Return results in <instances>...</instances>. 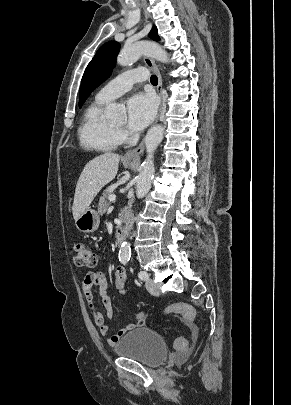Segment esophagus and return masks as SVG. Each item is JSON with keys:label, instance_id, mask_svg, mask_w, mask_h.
I'll return each instance as SVG.
<instances>
[{"label": "esophagus", "instance_id": "obj_1", "mask_svg": "<svg viewBox=\"0 0 291 405\" xmlns=\"http://www.w3.org/2000/svg\"><path fill=\"white\" fill-rule=\"evenodd\" d=\"M143 61H144L145 65L156 74V76L158 78L157 92L161 98V105H160L159 113H158V116L156 119V122H157L161 113L163 112V108H164V104H165L164 97H163V79H162V75H161V72H160L158 66L156 65L155 61L152 58L144 57ZM144 144H145V141L142 140L141 143L136 148L129 150L128 152L125 153L124 159H128V160L139 159L140 155L144 151Z\"/></svg>", "mask_w": 291, "mask_h": 405}]
</instances>
